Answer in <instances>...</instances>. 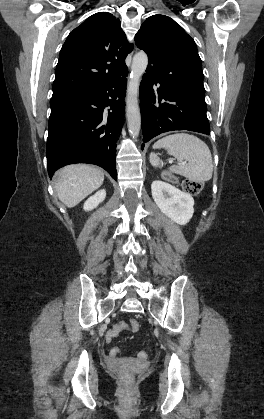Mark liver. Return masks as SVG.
Wrapping results in <instances>:
<instances>
[{
  "label": "liver",
  "instance_id": "liver-1",
  "mask_svg": "<svg viewBox=\"0 0 264 419\" xmlns=\"http://www.w3.org/2000/svg\"><path fill=\"white\" fill-rule=\"evenodd\" d=\"M104 181V173L87 164H74L58 171L56 190L58 198L72 208L97 190Z\"/></svg>",
  "mask_w": 264,
  "mask_h": 419
}]
</instances>
